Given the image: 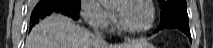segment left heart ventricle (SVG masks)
Wrapping results in <instances>:
<instances>
[{
    "label": "left heart ventricle",
    "mask_w": 213,
    "mask_h": 48,
    "mask_svg": "<svg viewBox=\"0 0 213 48\" xmlns=\"http://www.w3.org/2000/svg\"><path fill=\"white\" fill-rule=\"evenodd\" d=\"M115 9L118 11L119 17L124 25L130 29L143 28L149 22V9L142 3L118 2L115 5Z\"/></svg>",
    "instance_id": "b2bd125f"
}]
</instances>
